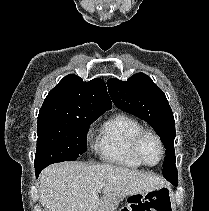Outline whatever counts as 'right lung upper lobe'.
<instances>
[{
	"label": "right lung upper lobe",
	"mask_w": 209,
	"mask_h": 211,
	"mask_svg": "<svg viewBox=\"0 0 209 211\" xmlns=\"http://www.w3.org/2000/svg\"><path fill=\"white\" fill-rule=\"evenodd\" d=\"M111 108L106 85L100 78L84 82L75 74L65 76L47 95L38 120L99 117Z\"/></svg>",
	"instance_id": "1"
}]
</instances>
